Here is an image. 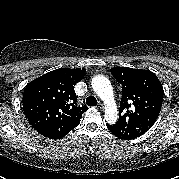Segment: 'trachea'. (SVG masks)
Masks as SVG:
<instances>
[{
	"label": "trachea",
	"mask_w": 179,
	"mask_h": 179,
	"mask_svg": "<svg viewBox=\"0 0 179 179\" xmlns=\"http://www.w3.org/2000/svg\"><path fill=\"white\" fill-rule=\"evenodd\" d=\"M97 103V99L94 96H88L86 99V104L88 106H96Z\"/></svg>",
	"instance_id": "obj_1"
}]
</instances>
